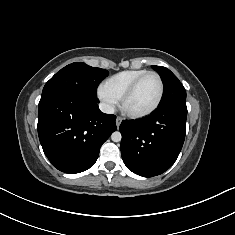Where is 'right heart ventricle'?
Returning a JSON list of instances; mask_svg holds the SVG:
<instances>
[{
  "mask_svg": "<svg viewBox=\"0 0 235 235\" xmlns=\"http://www.w3.org/2000/svg\"><path fill=\"white\" fill-rule=\"evenodd\" d=\"M146 72L147 70L145 69L124 70L107 78L104 81L103 86L107 91L120 100L131 83Z\"/></svg>",
  "mask_w": 235,
  "mask_h": 235,
  "instance_id": "e07e8e85",
  "label": "right heart ventricle"
}]
</instances>
